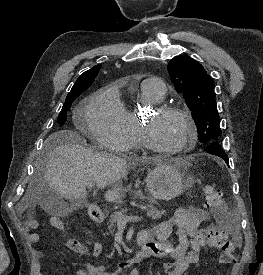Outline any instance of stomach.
<instances>
[{"mask_svg":"<svg viewBox=\"0 0 263 275\" xmlns=\"http://www.w3.org/2000/svg\"><path fill=\"white\" fill-rule=\"evenodd\" d=\"M146 184L154 199H173L185 189L183 168L169 163H158L148 172Z\"/></svg>","mask_w":263,"mask_h":275,"instance_id":"1","label":"stomach"}]
</instances>
